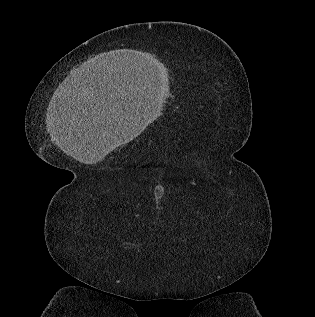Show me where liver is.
<instances>
[{"mask_svg": "<svg viewBox=\"0 0 315 317\" xmlns=\"http://www.w3.org/2000/svg\"><path fill=\"white\" fill-rule=\"evenodd\" d=\"M68 141L70 140V139H67ZM71 141V140H70ZM61 147H62V149L65 151V152H67V153H69V154H71V155H73V156H76L77 154V152H76V149L74 150V148H76V147H73V149H72V147H67V143L66 142H63V143H61Z\"/></svg>", "mask_w": 315, "mask_h": 317, "instance_id": "obj_1", "label": "liver"}]
</instances>
